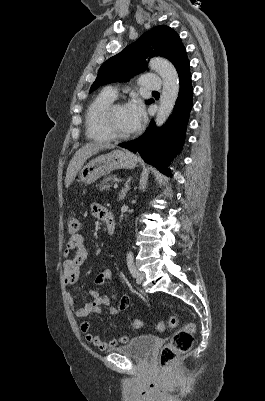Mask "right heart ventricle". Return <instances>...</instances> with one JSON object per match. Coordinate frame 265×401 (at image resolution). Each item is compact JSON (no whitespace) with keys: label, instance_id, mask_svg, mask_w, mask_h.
I'll return each instance as SVG.
<instances>
[{"label":"right heart ventricle","instance_id":"obj_1","mask_svg":"<svg viewBox=\"0 0 265 401\" xmlns=\"http://www.w3.org/2000/svg\"><path fill=\"white\" fill-rule=\"evenodd\" d=\"M116 96L109 90H102L89 103L85 113L86 134L90 139L97 141H109V137L101 125L104 111L115 101Z\"/></svg>","mask_w":265,"mask_h":401}]
</instances>
